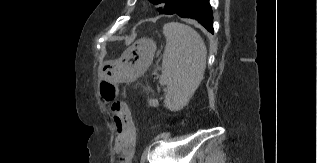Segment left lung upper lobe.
Returning a JSON list of instances; mask_svg holds the SVG:
<instances>
[{
    "label": "left lung upper lobe",
    "mask_w": 317,
    "mask_h": 163,
    "mask_svg": "<svg viewBox=\"0 0 317 163\" xmlns=\"http://www.w3.org/2000/svg\"><path fill=\"white\" fill-rule=\"evenodd\" d=\"M153 4L157 5L160 3H165L164 7L158 8L159 13H164V14H173L181 2L183 0H149Z\"/></svg>",
    "instance_id": "5c2ea615"
}]
</instances>
